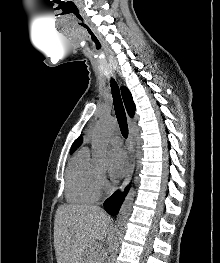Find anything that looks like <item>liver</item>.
Instances as JSON below:
<instances>
[{"label": "liver", "mask_w": 220, "mask_h": 263, "mask_svg": "<svg viewBox=\"0 0 220 263\" xmlns=\"http://www.w3.org/2000/svg\"><path fill=\"white\" fill-rule=\"evenodd\" d=\"M111 218L95 205H61L54 221L57 263H94L91 251L110 231Z\"/></svg>", "instance_id": "1"}]
</instances>
